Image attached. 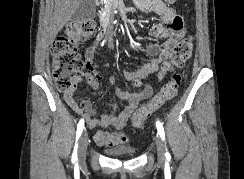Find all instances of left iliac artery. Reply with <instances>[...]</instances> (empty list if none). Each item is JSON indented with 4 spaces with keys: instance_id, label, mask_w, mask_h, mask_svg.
<instances>
[{
    "instance_id": "44dca946",
    "label": "left iliac artery",
    "mask_w": 244,
    "mask_h": 179,
    "mask_svg": "<svg viewBox=\"0 0 244 179\" xmlns=\"http://www.w3.org/2000/svg\"><path fill=\"white\" fill-rule=\"evenodd\" d=\"M156 128H157V131L160 135V137L162 138V140H165V132H164V128H163V125L162 123H160L159 121L156 122ZM170 154L168 152L165 153V156H169Z\"/></svg>"
}]
</instances>
